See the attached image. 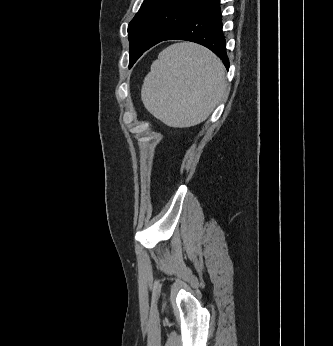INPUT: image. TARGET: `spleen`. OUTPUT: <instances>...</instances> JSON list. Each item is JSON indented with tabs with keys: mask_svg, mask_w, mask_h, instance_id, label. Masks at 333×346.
Returning a JSON list of instances; mask_svg holds the SVG:
<instances>
[{
	"mask_svg": "<svg viewBox=\"0 0 333 346\" xmlns=\"http://www.w3.org/2000/svg\"><path fill=\"white\" fill-rule=\"evenodd\" d=\"M226 86L225 68L216 55L194 43H176L152 63L141 98L163 122L190 127L208 118Z\"/></svg>",
	"mask_w": 333,
	"mask_h": 346,
	"instance_id": "obj_1",
	"label": "spleen"
}]
</instances>
